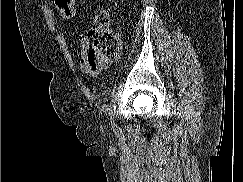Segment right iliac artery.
Masks as SVG:
<instances>
[{
  "label": "right iliac artery",
  "instance_id": "right-iliac-artery-1",
  "mask_svg": "<svg viewBox=\"0 0 243 182\" xmlns=\"http://www.w3.org/2000/svg\"><path fill=\"white\" fill-rule=\"evenodd\" d=\"M111 120H112V117H111ZM113 127L115 128L116 127V125L113 123Z\"/></svg>",
  "mask_w": 243,
  "mask_h": 182
}]
</instances>
